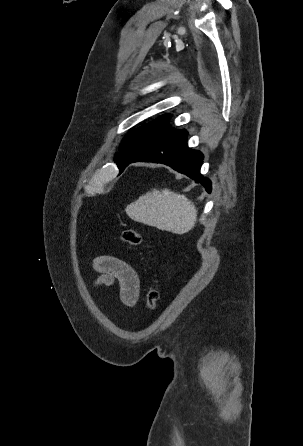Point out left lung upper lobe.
<instances>
[{"label":"left lung upper lobe","instance_id":"left-lung-upper-lobe-1","mask_svg":"<svg viewBox=\"0 0 303 446\" xmlns=\"http://www.w3.org/2000/svg\"><path fill=\"white\" fill-rule=\"evenodd\" d=\"M171 115L166 114L129 132L124 138L120 153L115 157L118 168L129 158L134 157L154 143L173 135L177 129L169 126Z\"/></svg>","mask_w":303,"mask_h":446}]
</instances>
